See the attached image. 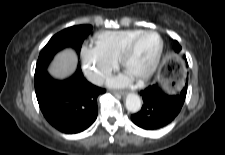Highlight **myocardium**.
I'll list each match as a JSON object with an SVG mask.
<instances>
[{
    "mask_svg": "<svg viewBox=\"0 0 225 155\" xmlns=\"http://www.w3.org/2000/svg\"><path fill=\"white\" fill-rule=\"evenodd\" d=\"M148 34H155L158 36L159 41H160V46L157 52V55L153 61V63L151 64L150 68L141 76L137 77V79L139 81H146L149 78L152 77V75L155 73V71L157 70L162 56H163V51H164V40L161 36V34L155 30H143L142 32L138 33L136 36H134L125 46V48L123 49L120 58H119V63L120 65L125 68L127 60L129 59V57L131 56V54L133 53V51L135 50L138 42L146 35Z\"/></svg>",
    "mask_w": 225,
    "mask_h": 155,
    "instance_id": "f54148a6",
    "label": "myocardium"
}]
</instances>
